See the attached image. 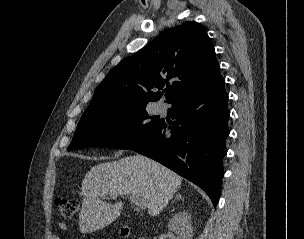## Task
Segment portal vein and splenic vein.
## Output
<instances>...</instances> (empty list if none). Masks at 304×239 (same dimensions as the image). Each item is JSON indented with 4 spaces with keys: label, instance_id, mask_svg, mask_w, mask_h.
I'll return each instance as SVG.
<instances>
[{
    "label": "portal vein and splenic vein",
    "instance_id": "obj_1",
    "mask_svg": "<svg viewBox=\"0 0 304 239\" xmlns=\"http://www.w3.org/2000/svg\"><path fill=\"white\" fill-rule=\"evenodd\" d=\"M111 197L115 198L117 196H111ZM128 198L131 201V203L135 204L140 209H144L147 207V201L144 198L134 196V195H130V196H128Z\"/></svg>",
    "mask_w": 304,
    "mask_h": 239
}]
</instances>
